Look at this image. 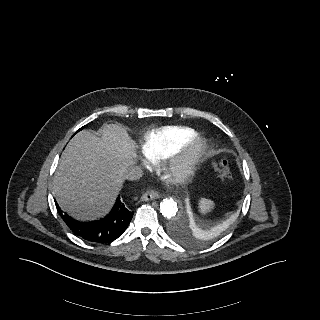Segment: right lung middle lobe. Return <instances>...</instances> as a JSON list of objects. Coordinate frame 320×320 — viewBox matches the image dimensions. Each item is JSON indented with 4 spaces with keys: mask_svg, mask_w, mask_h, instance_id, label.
Instances as JSON below:
<instances>
[{
    "mask_svg": "<svg viewBox=\"0 0 320 320\" xmlns=\"http://www.w3.org/2000/svg\"><path fill=\"white\" fill-rule=\"evenodd\" d=\"M83 129V127L82 128H80L78 131H80V130H82Z\"/></svg>",
    "mask_w": 320,
    "mask_h": 320,
    "instance_id": "obj_1",
    "label": "right lung middle lobe"
}]
</instances>
